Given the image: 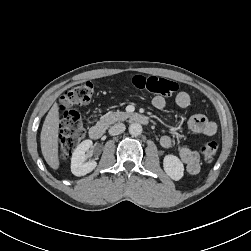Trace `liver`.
Listing matches in <instances>:
<instances>
[{
	"instance_id": "liver-1",
	"label": "liver",
	"mask_w": 251,
	"mask_h": 251,
	"mask_svg": "<svg viewBox=\"0 0 251 251\" xmlns=\"http://www.w3.org/2000/svg\"><path fill=\"white\" fill-rule=\"evenodd\" d=\"M59 108L55 103L49 110L42 126L40 143L41 151L47 164L54 170L59 168L58 134H59Z\"/></svg>"
}]
</instances>
